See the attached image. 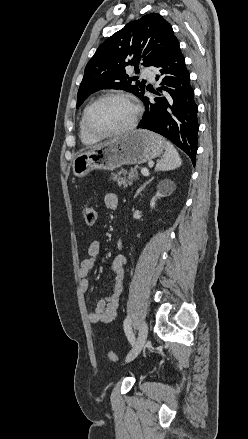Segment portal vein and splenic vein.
<instances>
[{
  "instance_id": "portal-vein-and-splenic-vein-1",
  "label": "portal vein and splenic vein",
  "mask_w": 248,
  "mask_h": 439,
  "mask_svg": "<svg viewBox=\"0 0 248 439\" xmlns=\"http://www.w3.org/2000/svg\"><path fill=\"white\" fill-rule=\"evenodd\" d=\"M141 173H142L144 176H149V170L146 169V168H142V169H141Z\"/></svg>"
}]
</instances>
